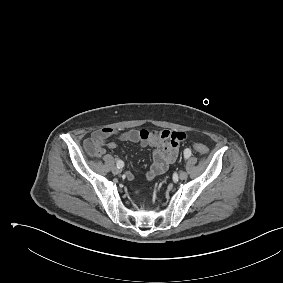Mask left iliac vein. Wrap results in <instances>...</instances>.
I'll list each match as a JSON object with an SVG mask.
<instances>
[{
  "label": "left iliac vein",
  "instance_id": "1",
  "mask_svg": "<svg viewBox=\"0 0 283 283\" xmlns=\"http://www.w3.org/2000/svg\"><path fill=\"white\" fill-rule=\"evenodd\" d=\"M187 177H188V175H187L186 172L182 171V172L179 173V179L180 180H185V179H187Z\"/></svg>",
  "mask_w": 283,
  "mask_h": 283
}]
</instances>
